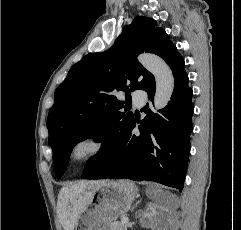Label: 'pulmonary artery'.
<instances>
[{
  "instance_id": "e3ab8cb5",
  "label": "pulmonary artery",
  "mask_w": 241,
  "mask_h": 230,
  "mask_svg": "<svg viewBox=\"0 0 241 230\" xmlns=\"http://www.w3.org/2000/svg\"><path fill=\"white\" fill-rule=\"evenodd\" d=\"M132 100L135 105L141 106L146 100V93L143 91H137L133 93Z\"/></svg>"
}]
</instances>
